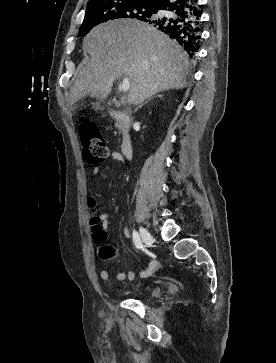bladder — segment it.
Here are the masks:
<instances>
[{"label": "bladder", "instance_id": "31cf9c89", "mask_svg": "<svg viewBox=\"0 0 276 363\" xmlns=\"http://www.w3.org/2000/svg\"><path fill=\"white\" fill-rule=\"evenodd\" d=\"M161 291L158 288H154L150 291V297H158L160 295Z\"/></svg>", "mask_w": 276, "mask_h": 363}]
</instances>
